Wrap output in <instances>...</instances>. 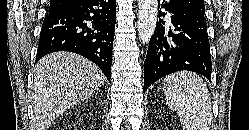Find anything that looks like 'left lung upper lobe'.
Instances as JSON below:
<instances>
[{"label":"left lung upper lobe","mask_w":249,"mask_h":130,"mask_svg":"<svg viewBox=\"0 0 249 130\" xmlns=\"http://www.w3.org/2000/svg\"><path fill=\"white\" fill-rule=\"evenodd\" d=\"M190 10L205 15V5L203 0H179Z\"/></svg>","instance_id":"5c2ea615"}]
</instances>
